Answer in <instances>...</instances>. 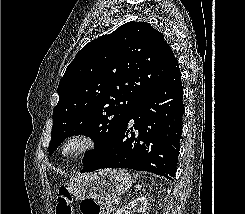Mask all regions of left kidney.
I'll return each mask as SVG.
<instances>
[{
  "instance_id": "5707ae66",
  "label": "left kidney",
  "mask_w": 245,
  "mask_h": 214,
  "mask_svg": "<svg viewBox=\"0 0 245 214\" xmlns=\"http://www.w3.org/2000/svg\"><path fill=\"white\" fill-rule=\"evenodd\" d=\"M134 206H139L137 212L140 214H147L148 209V198L146 196L137 197L136 199L130 201L127 205L119 209L115 214H122L127 210H131Z\"/></svg>"
}]
</instances>
